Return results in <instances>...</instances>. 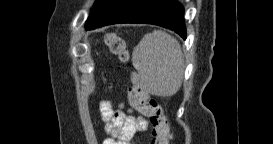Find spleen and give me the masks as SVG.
<instances>
[{
    "label": "spleen",
    "instance_id": "obj_1",
    "mask_svg": "<svg viewBox=\"0 0 273 144\" xmlns=\"http://www.w3.org/2000/svg\"><path fill=\"white\" fill-rule=\"evenodd\" d=\"M132 64L137 73H132L131 82L152 95L170 97L181 87L184 67L181 46L164 31L144 35L134 47Z\"/></svg>",
    "mask_w": 273,
    "mask_h": 144
}]
</instances>
